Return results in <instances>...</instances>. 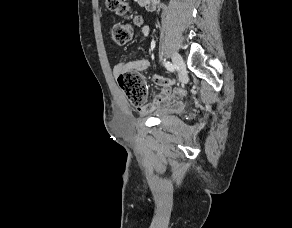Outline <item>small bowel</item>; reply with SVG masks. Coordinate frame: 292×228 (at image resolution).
Returning a JSON list of instances; mask_svg holds the SVG:
<instances>
[{
	"mask_svg": "<svg viewBox=\"0 0 292 228\" xmlns=\"http://www.w3.org/2000/svg\"><path fill=\"white\" fill-rule=\"evenodd\" d=\"M142 33L144 36H149L151 33L150 27L145 25L142 28ZM149 65L150 62L147 59H130L115 65L113 68V73L115 76H119L127 70L142 72L145 71ZM152 80L154 83L161 86V89L152 102L144 104L139 108V112L142 114H149L159 109L166 108L186 94L185 88H176L172 90L175 79H168L161 75L154 74Z\"/></svg>",
	"mask_w": 292,
	"mask_h": 228,
	"instance_id": "small-bowel-1",
	"label": "small bowel"
}]
</instances>
